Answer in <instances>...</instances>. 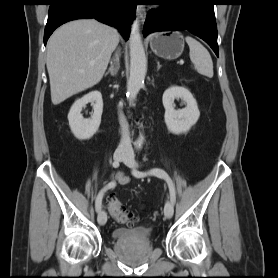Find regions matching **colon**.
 <instances>
[{"label": "colon", "instance_id": "obj_1", "mask_svg": "<svg viewBox=\"0 0 278 278\" xmlns=\"http://www.w3.org/2000/svg\"><path fill=\"white\" fill-rule=\"evenodd\" d=\"M108 207L112 217L120 223L132 225L137 221V215L125 208L121 201L115 197L109 198Z\"/></svg>", "mask_w": 278, "mask_h": 278}]
</instances>
